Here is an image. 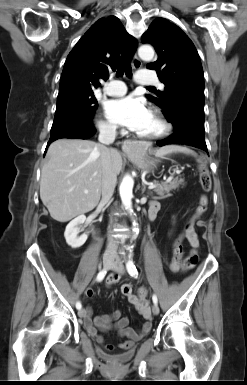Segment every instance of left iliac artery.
Returning a JSON list of instances; mask_svg holds the SVG:
<instances>
[{
	"instance_id": "left-iliac-artery-1",
	"label": "left iliac artery",
	"mask_w": 247,
	"mask_h": 385,
	"mask_svg": "<svg viewBox=\"0 0 247 385\" xmlns=\"http://www.w3.org/2000/svg\"><path fill=\"white\" fill-rule=\"evenodd\" d=\"M126 268H127L128 273L132 277H135V278L137 277L138 272H137L136 266H135L134 262L132 261V259L128 260V262L126 263ZM152 300H153L154 304L158 303V299H157V296L155 294H153Z\"/></svg>"
}]
</instances>
